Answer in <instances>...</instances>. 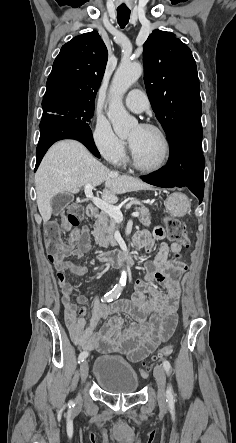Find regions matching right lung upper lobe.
<instances>
[{
    "mask_svg": "<svg viewBox=\"0 0 236 443\" xmlns=\"http://www.w3.org/2000/svg\"><path fill=\"white\" fill-rule=\"evenodd\" d=\"M108 59L98 32L74 37L62 46L46 84L43 101L61 96L94 102Z\"/></svg>",
    "mask_w": 236,
    "mask_h": 443,
    "instance_id": "1",
    "label": "right lung upper lobe"
}]
</instances>
